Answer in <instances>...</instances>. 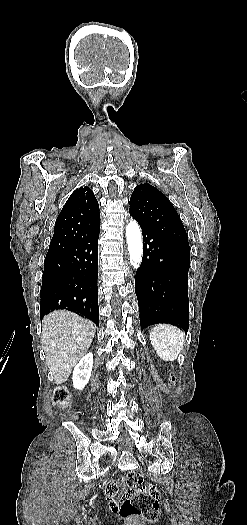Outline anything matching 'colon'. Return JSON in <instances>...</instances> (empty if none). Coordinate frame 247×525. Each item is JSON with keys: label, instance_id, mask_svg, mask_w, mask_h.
<instances>
[{"label": "colon", "instance_id": "colon-1", "mask_svg": "<svg viewBox=\"0 0 247 525\" xmlns=\"http://www.w3.org/2000/svg\"><path fill=\"white\" fill-rule=\"evenodd\" d=\"M170 384L175 383V376L169 377ZM71 396L67 389L58 386L54 390V402L60 407H67ZM126 490L121 495V513L129 520L154 523L158 520L160 490L152 484L143 481L142 476L135 471L129 472L125 478Z\"/></svg>", "mask_w": 247, "mask_h": 525}]
</instances>
